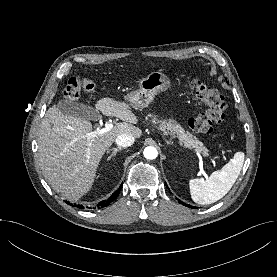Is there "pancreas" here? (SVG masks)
<instances>
[{
	"instance_id": "pancreas-1",
	"label": "pancreas",
	"mask_w": 277,
	"mask_h": 277,
	"mask_svg": "<svg viewBox=\"0 0 277 277\" xmlns=\"http://www.w3.org/2000/svg\"><path fill=\"white\" fill-rule=\"evenodd\" d=\"M153 123H158L160 129L164 131L166 135H171L172 137H178L186 146L193 147L199 152H202L203 155L208 154V150L203 146V143L200 142L194 135L190 132L184 130L179 123L173 119L163 120L159 119L156 115H149Z\"/></svg>"
}]
</instances>
